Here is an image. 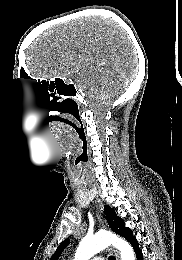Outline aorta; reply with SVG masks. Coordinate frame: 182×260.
<instances>
[{"label": "aorta", "mask_w": 182, "mask_h": 260, "mask_svg": "<svg viewBox=\"0 0 182 260\" xmlns=\"http://www.w3.org/2000/svg\"><path fill=\"white\" fill-rule=\"evenodd\" d=\"M109 245L115 246L120 251L121 260H135L131 245L111 233H97L84 237L76 250L74 260H89Z\"/></svg>", "instance_id": "aorta-1"}]
</instances>
